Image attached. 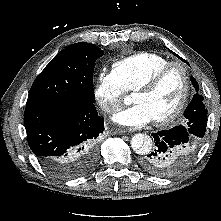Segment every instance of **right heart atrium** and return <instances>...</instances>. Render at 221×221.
I'll list each match as a JSON object with an SVG mask.
<instances>
[{
	"label": "right heart atrium",
	"instance_id": "right-heart-atrium-1",
	"mask_svg": "<svg viewBox=\"0 0 221 221\" xmlns=\"http://www.w3.org/2000/svg\"><path fill=\"white\" fill-rule=\"evenodd\" d=\"M124 95L125 90L113 72H99L94 97L105 113H114L121 105Z\"/></svg>",
	"mask_w": 221,
	"mask_h": 221
}]
</instances>
